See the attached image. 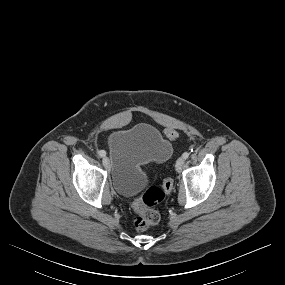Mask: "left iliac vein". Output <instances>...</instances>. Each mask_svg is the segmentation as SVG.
<instances>
[{
  "mask_svg": "<svg viewBox=\"0 0 285 285\" xmlns=\"http://www.w3.org/2000/svg\"><path fill=\"white\" fill-rule=\"evenodd\" d=\"M184 163H185V159L183 157H180L177 159L175 168L178 172L182 170Z\"/></svg>",
  "mask_w": 285,
  "mask_h": 285,
  "instance_id": "obj_1",
  "label": "left iliac vein"
}]
</instances>
